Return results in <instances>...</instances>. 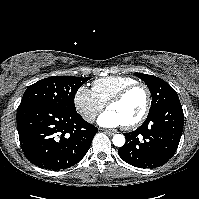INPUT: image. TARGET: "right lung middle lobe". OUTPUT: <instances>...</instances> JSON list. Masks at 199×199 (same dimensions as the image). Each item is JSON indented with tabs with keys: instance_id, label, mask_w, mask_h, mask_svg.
I'll use <instances>...</instances> for the list:
<instances>
[{
	"instance_id": "1",
	"label": "right lung middle lobe",
	"mask_w": 199,
	"mask_h": 199,
	"mask_svg": "<svg viewBox=\"0 0 199 199\" xmlns=\"http://www.w3.org/2000/svg\"><path fill=\"white\" fill-rule=\"evenodd\" d=\"M90 78L53 76L29 86L19 106L44 104L67 112H75L74 97L77 90Z\"/></svg>"
}]
</instances>
